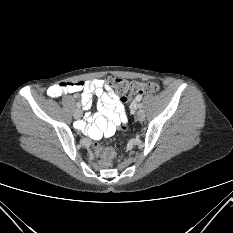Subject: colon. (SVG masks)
I'll return each instance as SVG.
<instances>
[{"label": "colon", "instance_id": "5ec220e1", "mask_svg": "<svg viewBox=\"0 0 233 233\" xmlns=\"http://www.w3.org/2000/svg\"><path fill=\"white\" fill-rule=\"evenodd\" d=\"M105 85L115 93L121 95L123 102L130 101L135 95H141L145 93L157 92L159 86L153 82H136L126 79L118 78L115 76H109L105 79ZM121 130L125 134L128 130L126 124L121 125ZM93 151L97 156L101 157V162L104 166H109L115 156V152L111 148H104L98 143L93 144Z\"/></svg>", "mask_w": 233, "mask_h": 233}]
</instances>
